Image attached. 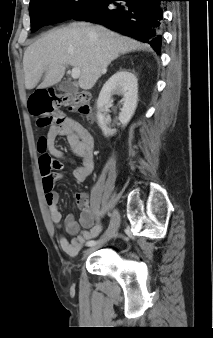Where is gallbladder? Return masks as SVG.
<instances>
[{"label": "gallbladder", "instance_id": "gallbladder-1", "mask_svg": "<svg viewBox=\"0 0 213 338\" xmlns=\"http://www.w3.org/2000/svg\"><path fill=\"white\" fill-rule=\"evenodd\" d=\"M76 89H77L76 86L68 82H62L59 85V90L63 92H74Z\"/></svg>", "mask_w": 213, "mask_h": 338}]
</instances>
